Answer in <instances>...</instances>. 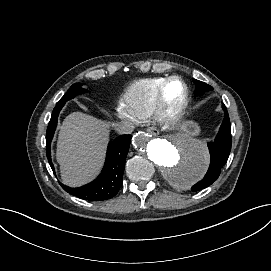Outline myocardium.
Returning a JSON list of instances; mask_svg holds the SVG:
<instances>
[{
    "instance_id": "obj_1",
    "label": "myocardium",
    "mask_w": 271,
    "mask_h": 271,
    "mask_svg": "<svg viewBox=\"0 0 271 271\" xmlns=\"http://www.w3.org/2000/svg\"><path fill=\"white\" fill-rule=\"evenodd\" d=\"M173 81H180L185 88L184 95L178 100H172L168 96V87ZM191 99L189 84L180 76L173 75L168 77L160 87L156 115L161 122L176 123L185 114Z\"/></svg>"
}]
</instances>
